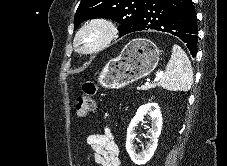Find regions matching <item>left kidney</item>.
I'll list each match as a JSON object with an SVG mask.
<instances>
[{
  "mask_svg": "<svg viewBox=\"0 0 227 166\" xmlns=\"http://www.w3.org/2000/svg\"><path fill=\"white\" fill-rule=\"evenodd\" d=\"M145 116H149L152 121L151 129L149 130L150 140L142 152L136 153L135 146L133 144L135 137V127L139 124V122L143 121ZM161 130L162 114L159 105L157 103H147L140 106L129 124L126 140V150L131 160L135 164L143 165L152 158L158 145V137L161 134Z\"/></svg>",
  "mask_w": 227,
  "mask_h": 166,
  "instance_id": "obj_1",
  "label": "left kidney"
}]
</instances>
